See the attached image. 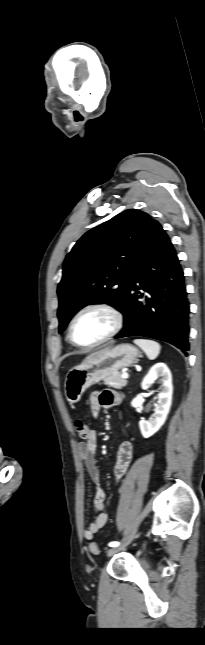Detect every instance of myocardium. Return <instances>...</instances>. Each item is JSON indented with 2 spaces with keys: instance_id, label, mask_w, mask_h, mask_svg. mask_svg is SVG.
Returning a JSON list of instances; mask_svg holds the SVG:
<instances>
[{
  "instance_id": "f54148a6",
  "label": "myocardium",
  "mask_w": 205,
  "mask_h": 645,
  "mask_svg": "<svg viewBox=\"0 0 205 645\" xmlns=\"http://www.w3.org/2000/svg\"><path fill=\"white\" fill-rule=\"evenodd\" d=\"M92 310L102 311V312L106 313L107 315H109V317L111 318V322H112L111 328H110V330L108 331V333L105 336H103L102 338H100L99 340H97L95 342H92V343H80V342L75 340L74 335H73V328H74L75 322L77 321V319L83 313H85L87 311H92ZM122 326H123V315L116 307H114L111 304L103 303V302L89 303V304L83 306L82 308H80L74 314V316L72 317V319H71V321L69 323V327H68V337H69L70 341L74 345H76L78 347H81V348H94V347L102 345V344L106 343L107 341L111 340L114 336H116L119 333V331L121 330Z\"/></svg>"
}]
</instances>
